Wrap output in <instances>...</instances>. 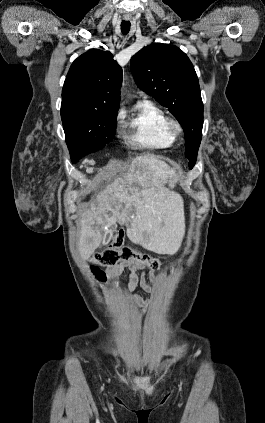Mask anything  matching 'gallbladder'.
Masks as SVG:
<instances>
[{
    "label": "gallbladder",
    "instance_id": "gallbladder-1",
    "mask_svg": "<svg viewBox=\"0 0 265 423\" xmlns=\"http://www.w3.org/2000/svg\"><path fill=\"white\" fill-rule=\"evenodd\" d=\"M112 237H113L112 230H108L106 232L105 237H104V244H108L110 242V240L112 239Z\"/></svg>",
    "mask_w": 265,
    "mask_h": 423
}]
</instances>
